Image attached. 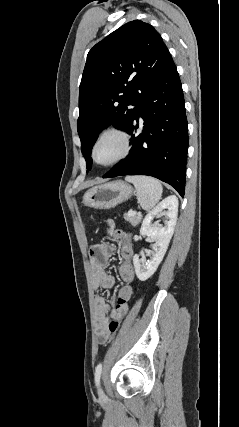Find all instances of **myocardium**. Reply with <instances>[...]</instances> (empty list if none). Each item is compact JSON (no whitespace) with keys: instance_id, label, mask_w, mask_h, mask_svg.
Masks as SVG:
<instances>
[{"instance_id":"myocardium-1","label":"myocardium","mask_w":239,"mask_h":427,"mask_svg":"<svg viewBox=\"0 0 239 427\" xmlns=\"http://www.w3.org/2000/svg\"><path fill=\"white\" fill-rule=\"evenodd\" d=\"M108 135H116L118 136L123 143V150L121 152V154L114 160L107 162V163H101L99 161H97L96 156H95V151H96V147L99 144V142L106 136ZM131 148H132V139L130 134L119 127H110L107 128L105 130H103L96 138V140L94 141L92 148H91V158L94 161L95 164L102 166V167H112L115 166L117 164H119L120 162H122L124 159H126L130 152H131Z\"/></svg>"}]
</instances>
